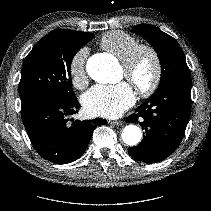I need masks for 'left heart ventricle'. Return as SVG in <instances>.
I'll list each match as a JSON object with an SVG mask.
<instances>
[{
	"instance_id": "1",
	"label": "left heart ventricle",
	"mask_w": 211,
	"mask_h": 211,
	"mask_svg": "<svg viewBox=\"0 0 211 211\" xmlns=\"http://www.w3.org/2000/svg\"><path fill=\"white\" fill-rule=\"evenodd\" d=\"M153 70L154 65L151 56L148 53H144L139 58L129 81L132 84L135 83L141 86L147 85L152 78ZM122 74L126 77L124 67H122Z\"/></svg>"
}]
</instances>
